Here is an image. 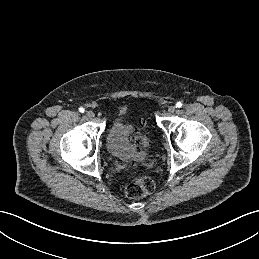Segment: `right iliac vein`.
<instances>
[{
	"label": "right iliac vein",
	"instance_id": "right-iliac-vein-1",
	"mask_svg": "<svg viewBox=\"0 0 259 259\" xmlns=\"http://www.w3.org/2000/svg\"><path fill=\"white\" fill-rule=\"evenodd\" d=\"M86 115H87V117H89V118H93V117L95 116L94 112L91 111V110L87 111V112H86Z\"/></svg>",
	"mask_w": 259,
	"mask_h": 259
}]
</instances>
